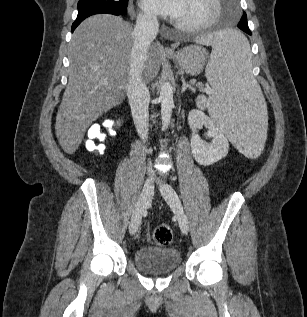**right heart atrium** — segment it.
I'll return each mask as SVG.
<instances>
[{
  "label": "right heart atrium",
  "instance_id": "d8ad5b80",
  "mask_svg": "<svg viewBox=\"0 0 307 317\" xmlns=\"http://www.w3.org/2000/svg\"><path fill=\"white\" fill-rule=\"evenodd\" d=\"M139 21L143 25L152 26L155 23V18L152 15L141 13L139 15Z\"/></svg>",
  "mask_w": 307,
  "mask_h": 317
}]
</instances>
